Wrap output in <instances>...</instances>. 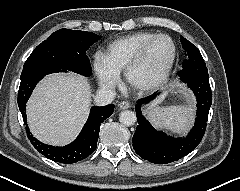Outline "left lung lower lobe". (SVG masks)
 <instances>
[{
    "mask_svg": "<svg viewBox=\"0 0 240 191\" xmlns=\"http://www.w3.org/2000/svg\"><path fill=\"white\" fill-rule=\"evenodd\" d=\"M178 75L192 89L197 99L195 125L185 138H173L156 131L141 114V105L149 103L156 95L140 100L135 108L139 125L132 138L133 148L143 159L155 164H166L179 160L197 147L205 133L212 104L208 72L192 74L183 67Z\"/></svg>",
    "mask_w": 240,
    "mask_h": 191,
    "instance_id": "obj_1",
    "label": "left lung lower lobe"
}]
</instances>
